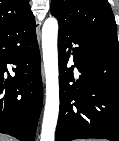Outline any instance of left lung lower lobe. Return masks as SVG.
Segmentation results:
<instances>
[{"instance_id":"left-lung-lower-lobe-1","label":"left lung lower lobe","mask_w":119,"mask_h":141,"mask_svg":"<svg viewBox=\"0 0 119 141\" xmlns=\"http://www.w3.org/2000/svg\"><path fill=\"white\" fill-rule=\"evenodd\" d=\"M60 110L56 141H119V46L59 24ZM74 66L67 68L72 60ZM80 73L74 80L73 69Z\"/></svg>"}]
</instances>
